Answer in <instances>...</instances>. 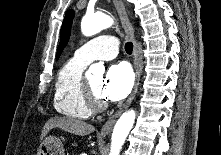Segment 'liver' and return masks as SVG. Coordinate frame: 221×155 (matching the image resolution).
Instances as JSON below:
<instances>
[{
  "mask_svg": "<svg viewBox=\"0 0 221 155\" xmlns=\"http://www.w3.org/2000/svg\"><path fill=\"white\" fill-rule=\"evenodd\" d=\"M53 128H60L69 133L85 136L95 131V127L91 124H88L84 121L71 118V117H59L55 116L50 118L44 125L42 129V133L40 136V140H43L45 136L49 133Z\"/></svg>",
  "mask_w": 221,
  "mask_h": 155,
  "instance_id": "6515ba94",
  "label": "liver"
}]
</instances>
